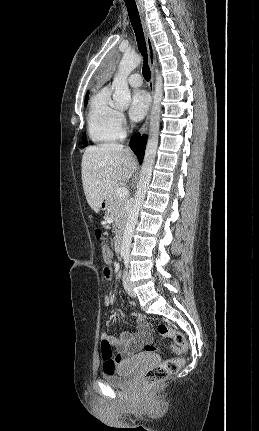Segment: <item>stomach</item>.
Wrapping results in <instances>:
<instances>
[{
  "mask_svg": "<svg viewBox=\"0 0 259 431\" xmlns=\"http://www.w3.org/2000/svg\"><path fill=\"white\" fill-rule=\"evenodd\" d=\"M108 198H106L101 204H100V207H99V209H101V210H106L107 208H108Z\"/></svg>",
  "mask_w": 259,
  "mask_h": 431,
  "instance_id": "1",
  "label": "stomach"
}]
</instances>
